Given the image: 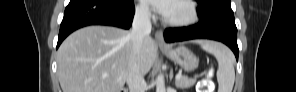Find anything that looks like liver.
Instances as JSON below:
<instances>
[{"mask_svg": "<svg viewBox=\"0 0 296 92\" xmlns=\"http://www.w3.org/2000/svg\"><path fill=\"white\" fill-rule=\"evenodd\" d=\"M157 51L155 41L145 37L139 60L142 75L150 71ZM131 55L127 30L88 26L75 31L63 41L57 54V74L63 92H121Z\"/></svg>", "mask_w": 296, "mask_h": 92, "instance_id": "6515ba94", "label": "liver"}]
</instances>
